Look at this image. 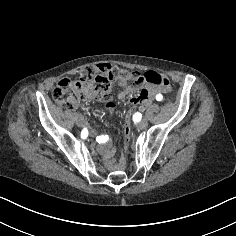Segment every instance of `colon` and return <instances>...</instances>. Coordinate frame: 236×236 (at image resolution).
I'll list each match as a JSON object with an SVG mask.
<instances>
[{
	"label": "colon",
	"mask_w": 236,
	"mask_h": 236,
	"mask_svg": "<svg viewBox=\"0 0 236 236\" xmlns=\"http://www.w3.org/2000/svg\"><path fill=\"white\" fill-rule=\"evenodd\" d=\"M116 80H124L137 84H147L149 86L163 88L169 86V80L154 71H147L144 74L138 72L125 71L109 64L87 65L81 68L77 79H63L53 90V98L57 104L73 109L80 102L96 94H107ZM146 96L142 91L134 99L132 106L125 114L124 141L128 147L131 140L130 123L134 107Z\"/></svg>",
	"instance_id": "5ec220e1"
}]
</instances>
